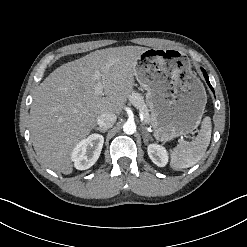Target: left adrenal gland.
I'll return each mask as SVG.
<instances>
[{
    "mask_svg": "<svg viewBox=\"0 0 247 247\" xmlns=\"http://www.w3.org/2000/svg\"><path fill=\"white\" fill-rule=\"evenodd\" d=\"M142 134H143V140L144 143L146 144L148 139H152L151 135L142 127Z\"/></svg>",
    "mask_w": 247,
    "mask_h": 247,
    "instance_id": "left-adrenal-gland-1",
    "label": "left adrenal gland"
}]
</instances>
